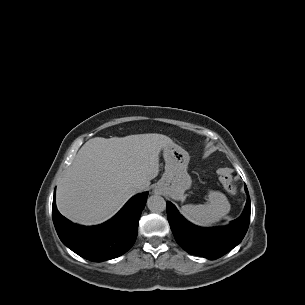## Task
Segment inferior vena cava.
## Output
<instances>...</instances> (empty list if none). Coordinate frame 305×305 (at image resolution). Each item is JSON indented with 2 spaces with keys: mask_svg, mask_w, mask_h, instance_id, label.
<instances>
[{
  "mask_svg": "<svg viewBox=\"0 0 305 305\" xmlns=\"http://www.w3.org/2000/svg\"><path fill=\"white\" fill-rule=\"evenodd\" d=\"M133 187H134L136 190H140V188H141L139 184H134Z\"/></svg>",
  "mask_w": 305,
  "mask_h": 305,
  "instance_id": "602c4592",
  "label": "inferior vena cava"
}]
</instances>
